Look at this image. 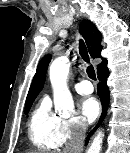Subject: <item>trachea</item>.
<instances>
[{
  "label": "trachea",
  "instance_id": "obj_1",
  "mask_svg": "<svg viewBox=\"0 0 130 153\" xmlns=\"http://www.w3.org/2000/svg\"><path fill=\"white\" fill-rule=\"evenodd\" d=\"M79 52H80V55H81L82 59L85 62L89 63L88 51H87L85 43L82 40H80V42H79ZM86 71H87V74H88L89 78H91L92 80H96L95 70H94V67L92 65H89L87 67Z\"/></svg>",
  "mask_w": 130,
  "mask_h": 153
}]
</instances>
